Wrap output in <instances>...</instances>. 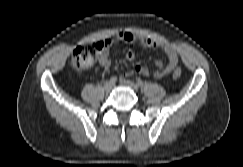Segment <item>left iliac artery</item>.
Returning a JSON list of instances; mask_svg holds the SVG:
<instances>
[{
  "label": "left iliac artery",
  "mask_w": 243,
  "mask_h": 167,
  "mask_svg": "<svg viewBox=\"0 0 243 167\" xmlns=\"http://www.w3.org/2000/svg\"><path fill=\"white\" fill-rule=\"evenodd\" d=\"M136 84H137L138 86H140V87H143V85H144L143 81L140 80V79H138V80L136 81Z\"/></svg>",
  "instance_id": "1"
}]
</instances>
